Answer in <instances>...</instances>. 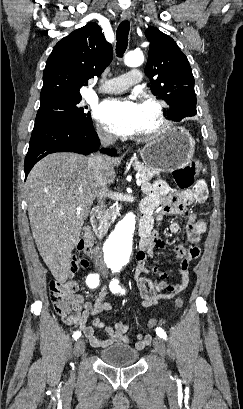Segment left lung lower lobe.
<instances>
[{
  "instance_id": "1",
  "label": "left lung lower lobe",
  "mask_w": 243,
  "mask_h": 409,
  "mask_svg": "<svg viewBox=\"0 0 243 409\" xmlns=\"http://www.w3.org/2000/svg\"><path fill=\"white\" fill-rule=\"evenodd\" d=\"M194 115H196L195 112L180 113V114L176 115V116H175L173 119H171V120L178 122V121H180L181 119H183V118H185V117H191V116H194Z\"/></svg>"
}]
</instances>
